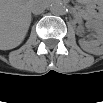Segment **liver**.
Returning <instances> with one entry per match:
<instances>
[{"mask_svg":"<svg viewBox=\"0 0 103 103\" xmlns=\"http://www.w3.org/2000/svg\"><path fill=\"white\" fill-rule=\"evenodd\" d=\"M31 5L25 0L1 2V50L16 48L23 42L31 23Z\"/></svg>","mask_w":103,"mask_h":103,"instance_id":"1","label":"liver"}]
</instances>
